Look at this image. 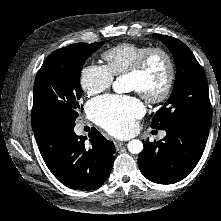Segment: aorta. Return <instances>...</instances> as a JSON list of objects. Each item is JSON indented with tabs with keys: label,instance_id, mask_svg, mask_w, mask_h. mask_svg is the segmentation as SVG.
Returning <instances> with one entry per match:
<instances>
[{
	"label": "aorta",
	"instance_id": "obj_1",
	"mask_svg": "<svg viewBox=\"0 0 221 221\" xmlns=\"http://www.w3.org/2000/svg\"><path fill=\"white\" fill-rule=\"evenodd\" d=\"M113 90L116 92V93H123L125 92V86H124V83H123V80L121 79V77H118L114 82H113ZM127 148L129 150L130 153L132 154H139L142 152L143 150V143L138 140V139H133L131 140L128 145H127Z\"/></svg>",
	"mask_w": 221,
	"mask_h": 221
}]
</instances>
